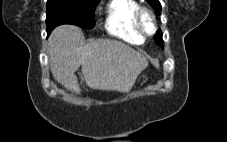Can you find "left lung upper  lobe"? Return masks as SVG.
I'll use <instances>...</instances> for the list:
<instances>
[{
  "label": "left lung upper lobe",
  "instance_id": "5c2ea615",
  "mask_svg": "<svg viewBox=\"0 0 227 142\" xmlns=\"http://www.w3.org/2000/svg\"><path fill=\"white\" fill-rule=\"evenodd\" d=\"M147 1L158 12V14L161 13V4L159 0H147ZM154 39L161 47H163L164 42L162 40V32L160 30L158 31Z\"/></svg>",
  "mask_w": 227,
  "mask_h": 142
}]
</instances>
